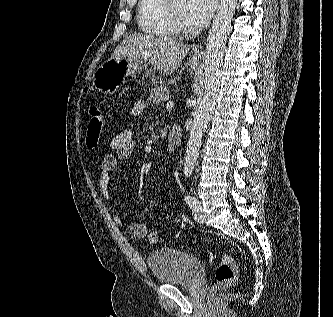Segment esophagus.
Here are the masks:
<instances>
[{
    "instance_id": "1",
    "label": "esophagus",
    "mask_w": 333,
    "mask_h": 317,
    "mask_svg": "<svg viewBox=\"0 0 333 317\" xmlns=\"http://www.w3.org/2000/svg\"><path fill=\"white\" fill-rule=\"evenodd\" d=\"M202 56H203V48L201 46L197 47L194 51L193 58L200 59L202 58Z\"/></svg>"
}]
</instances>
